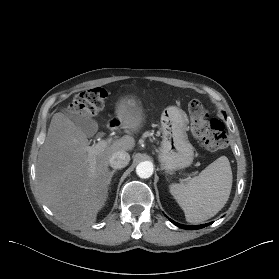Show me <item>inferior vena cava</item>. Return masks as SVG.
<instances>
[{
    "label": "inferior vena cava",
    "instance_id": "1",
    "mask_svg": "<svg viewBox=\"0 0 279 279\" xmlns=\"http://www.w3.org/2000/svg\"><path fill=\"white\" fill-rule=\"evenodd\" d=\"M130 155L126 151H116L109 157V164L114 169H121L128 165Z\"/></svg>",
    "mask_w": 279,
    "mask_h": 279
}]
</instances>
